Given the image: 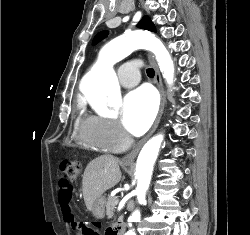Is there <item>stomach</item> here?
<instances>
[{"instance_id": "0dacf381", "label": "stomach", "mask_w": 250, "mask_h": 235, "mask_svg": "<svg viewBox=\"0 0 250 235\" xmlns=\"http://www.w3.org/2000/svg\"><path fill=\"white\" fill-rule=\"evenodd\" d=\"M128 166V165H126ZM105 206H106V198L104 196L98 197L93 204L92 214L97 219H102L105 216Z\"/></svg>"}]
</instances>
